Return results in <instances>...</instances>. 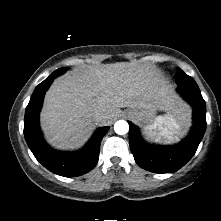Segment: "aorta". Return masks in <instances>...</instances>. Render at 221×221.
Returning <instances> with one entry per match:
<instances>
[{"label": "aorta", "mask_w": 221, "mask_h": 221, "mask_svg": "<svg viewBox=\"0 0 221 221\" xmlns=\"http://www.w3.org/2000/svg\"><path fill=\"white\" fill-rule=\"evenodd\" d=\"M114 131L119 135H124L129 131V125L124 120H119L114 125Z\"/></svg>", "instance_id": "1"}]
</instances>
